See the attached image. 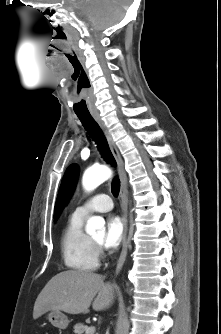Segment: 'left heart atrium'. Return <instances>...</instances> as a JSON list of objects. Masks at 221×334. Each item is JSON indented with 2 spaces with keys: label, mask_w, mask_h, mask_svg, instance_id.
<instances>
[{
  "label": "left heart atrium",
  "mask_w": 221,
  "mask_h": 334,
  "mask_svg": "<svg viewBox=\"0 0 221 334\" xmlns=\"http://www.w3.org/2000/svg\"><path fill=\"white\" fill-rule=\"evenodd\" d=\"M124 227L122 220L117 216H111L106 223V233L103 244L106 248L117 247L123 239Z\"/></svg>",
  "instance_id": "left-heart-atrium-1"
}]
</instances>
